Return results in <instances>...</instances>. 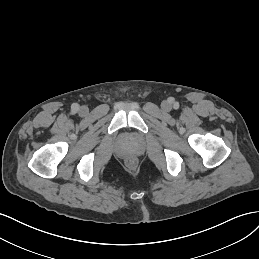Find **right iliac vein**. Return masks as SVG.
<instances>
[{"mask_svg": "<svg viewBox=\"0 0 259 259\" xmlns=\"http://www.w3.org/2000/svg\"><path fill=\"white\" fill-rule=\"evenodd\" d=\"M88 112H89V109H88L87 106H82V107H80V109H79V113H80V115H82V116L87 115Z\"/></svg>", "mask_w": 259, "mask_h": 259, "instance_id": "obj_1", "label": "right iliac vein"}]
</instances>
